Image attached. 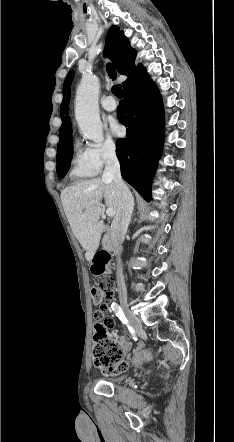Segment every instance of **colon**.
<instances>
[{
	"mask_svg": "<svg viewBox=\"0 0 234 442\" xmlns=\"http://www.w3.org/2000/svg\"><path fill=\"white\" fill-rule=\"evenodd\" d=\"M110 256L100 252L93 261V273L99 277V286L91 290V297L101 308L108 306L115 292V280L108 270ZM105 314V313H103ZM123 348L120 342L109 335L107 331H94L93 336V363L94 366L106 375H117L124 372L128 362L123 359ZM155 350L150 347H140L128 353L127 358L134 365H140L153 358Z\"/></svg>",
	"mask_w": 234,
	"mask_h": 442,
	"instance_id": "5ec220e1",
	"label": "colon"
}]
</instances>
